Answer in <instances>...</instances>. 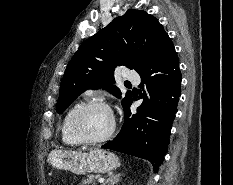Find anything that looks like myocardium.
Returning a JSON list of instances; mask_svg holds the SVG:
<instances>
[{"label": "myocardium", "instance_id": "obj_1", "mask_svg": "<svg viewBox=\"0 0 233 185\" xmlns=\"http://www.w3.org/2000/svg\"><path fill=\"white\" fill-rule=\"evenodd\" d=\"M93 108H104L106 110H108L112 116V126L110 128V130L108 131L107 134H105L102 137L99 138H89L87 137L81 130L80 127V122L82 117L91 109ZM116 119L114 117V114L112 112V109L110 108V106L103 102V101H99V100H94V101H90L88 103L83 104L74 114L72 121H71V131L72 134L74 135V137L82 144H88V145H94V144H99V143H103L107 140H109L115 133L116 131Z\"/></svg>", "mask_w": 233, "mask_h": 185}]
</instances>
